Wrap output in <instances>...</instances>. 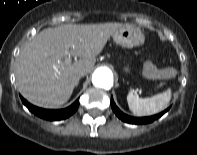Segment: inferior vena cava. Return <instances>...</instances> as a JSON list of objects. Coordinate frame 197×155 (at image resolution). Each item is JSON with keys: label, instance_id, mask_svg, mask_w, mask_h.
Wrapping results in <instances>:
<instances>
[{"label": "inferior vena cava", "instance_id": "inferior-vena-cava-1", "mask_svg": "<svg viewBox=\"0 0 197 155\" xmlns=\"http://www.w3.org/2000/svg\"><path fill=\"white\" fill-rule=\"evenodd\" d=\"M87 74V71L85 70V69H80L78 72H77V75L79 76V77H82V76H84V75H86Z\"/></svg>", "mask_w": 197, "mask_h": 155}]
</instances>
